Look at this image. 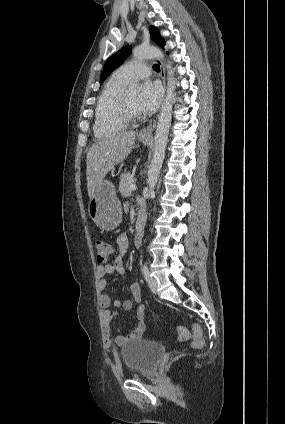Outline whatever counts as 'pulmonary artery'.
Masks as SVG:
<instances>
[{"label": "pulmonary artery", "instance_id": "1", "mask_svg": "<svg viewBox=\"0 0 285 424\" xmlns=\"http://www.w3.org/2000/svg\"><path fill=\"white\" fill-rule=\"evenodd\" d=\"M149 74L150 68L140 61L127 63L114 72L117 78L126 83L136 79H144Z\"/></svg>", "mask_w": 285, "mask_h": 424}]
</instances>
